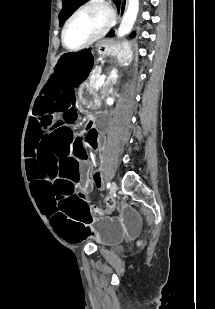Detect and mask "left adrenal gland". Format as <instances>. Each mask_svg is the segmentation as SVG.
<instances>
[{
	"label": "left adrenal gland",
	"instance_id": "1",
	"mask_svg": "<svg viewBox=\"0 0 215 309\" xmlns=\"http://www.w3.org/2000/svg\"><path fill=\"white\" fill-rule=\"evenodd\" d=\"M117 78H118V68H112L111 72H110V76L108 78V80H106V82H117Z\"/></svg>",
	"mask_w": 215,
	"mask_h": 309
}]
</instances>
